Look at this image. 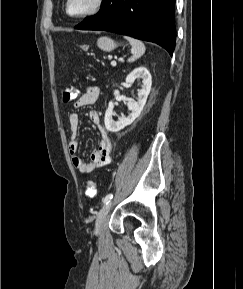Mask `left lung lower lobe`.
<instances>
[{
  "label": "left lung lower lobe",
  "instance_id": "1",
  "mask_svg": "<svg viewBox=\"0 0 243 289\" xmlns=\"http://www.w3.org/2000/svg\"><path fill=\"white\" fill-rule=\"evenodd\" d=\"M175 0H103L100 11L75 26L154 42L172 56L176 42Z\"/></svg>",
  "mask_w": 243,
  "mask_h": 289
}]
</instances>
